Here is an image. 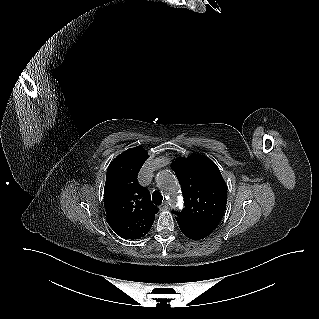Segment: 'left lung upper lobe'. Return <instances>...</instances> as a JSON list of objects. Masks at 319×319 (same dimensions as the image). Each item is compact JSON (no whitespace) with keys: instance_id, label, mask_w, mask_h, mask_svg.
<instances>
[{"instance_id":"1","label":"left lung upper lobe","mask_w":319,"mask_h":319,"mask_svg":"<svg viewBox=\"0 0 319 319\" xmlns=\"http://www.w3.org/2000/svg\"><path fill=\"white\" fill-rule=\"evenodd\" d=\"M181 185L185 208L176 219L214 230L224 216L227 185L217 165L203 155L179 158L171 164Z\"/></svg>"}]
</instances>
